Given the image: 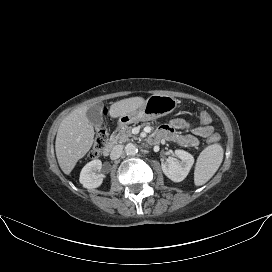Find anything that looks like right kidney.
<instances>
[{
	"mask_svg": "<svg viewBox=\"0 0 272 272\" xmlns=\"http://www.w3.org/2000/svg\"><path fill=\"white\" fill-rule=\"evenodd\" d=\"M101 168H102L101 160L96 159L87 163L80 173L79 181L82 184V186L87 189L99 187L103 182L102 175L98 173L100 172Z\"/></svg>",
	"mask_w": 272,
	"mask_h": 272,
	"instance_id": "ca27d5eb",
	"label": "right kidney"
}]
</instances>
